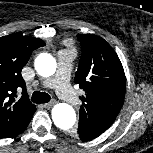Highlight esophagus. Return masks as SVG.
Instances as JSON below:
<instances>
[{"mask_svg":"<svg viewBox=\"0 0 153 153\" xmlns=\"http://www.w3.org/2000/svg\"><path fill=\"white\" fill-rule=\"evenodd\" d=\"M54 104H55V101H51V102H49V103L43 104L42 106H43L44 108H50V107H52Z\"/></svg>","mask_w":153,"mask_h":153,"instance_id":"esophagus-1","label":"esophagus"}]
</instances>
